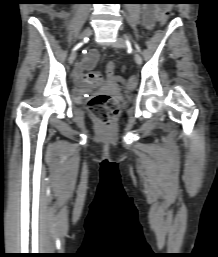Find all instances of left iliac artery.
I'll return each mask as SVG.
<instances>
[{
  "instance_id": "left-iliac-artery-1",
  "label": "left iliac artery",
  "mask_w": 218,
  "mask_h": 257,
  "mask_svg": "<svg viewBox=\"0 0 218 257\" xmlns=\"http://www.w3.org/2000/svg\"><path fill=\"white\" fill-rule=\"evenodd\" d=\"M135 47L137 48L138 51H140V48L137 44H135Z\"/></svg>"
}]
</instances>
